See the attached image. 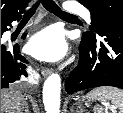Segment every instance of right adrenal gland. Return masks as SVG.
<instances>
[{
    "instance_id": "obj_1",
    "label": "right adrenal gland",
    "mask_w": 123,
    "mask_h": 113,
    "mask_svg": "<svg viewBox=\"0 0 123 113\" xmlns=\"http://www.w3.org/2000/svg\"><path fill=\"white\" fill-rule=\"evenodd\" d=\"M24 113H30L28 104H26V107H25Z\"/></svg>"
}]
</instances>
